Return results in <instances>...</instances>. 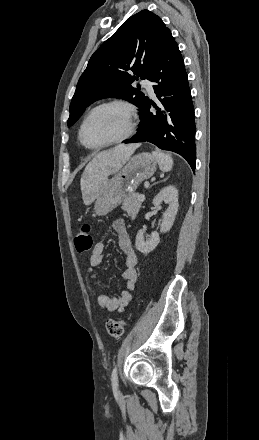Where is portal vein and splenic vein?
<instances>
[{"label": "portal vein and splenic vein", "mask_w": 259, "mask_h": 440, "mask_svg": "<svg viewBox=\"0 0 259 440\" xmlns=\"http://www.w3.org/2000/svg\"><path fill=\"white\" fill-rule=\"evenodd\" d=\"M138 200L143 202L145 200V196L143 194L139 195Z\"/></svg>", "instance_id": "portal-vein-and-splenic-vein-1"}]
</instances>
